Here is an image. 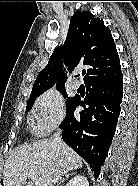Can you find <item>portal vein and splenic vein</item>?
Masks as SVG:
<instances>
[{"mask_svg": "<svg viewBox=\"0 0 138 186\" xmlns=\"http://www.w3.org/2000/svg\"><path fill=\"white\" fill-rule=\"evenodd\" d=\"M27 176L30 177L31 179H33L36 186H46V184L41 179H39L34 172L28 173ZM21 181H24V178H21Z\"/></svg>", "mask_w": 138, "mask_h": 186, "instance_id": "portal-vein-and-splenic-vein-1", "label": "portal vein and splenic vein"}]
</instances>
